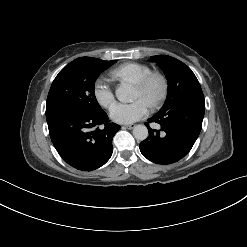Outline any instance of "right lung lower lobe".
Wrapping results in <instances>:
<instances>
[{
	"label": "right lung lower lobe",
	"mask_w": 247,
	"mask_h": 247,
	"mask_svg": "<svg viewBox=\"0 0 247 247\" xmlns=\"http://www.w3.org/2000/svg\"><path fill=\"white\" fill-rule=\"evenodd\" d=\"M49 134L59 155L72 167L92 171L112 155V139L120 126L109 123L102 110L96 114L65 111L47 118ZM104 128H98L99 125ZM97 127L95 130L92 128Z\"/></svg>",
	"instance_id": "right-lung-lower-lobe-1"
}]
</instances>
